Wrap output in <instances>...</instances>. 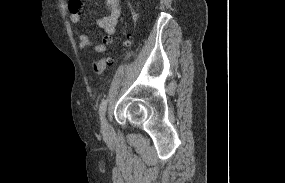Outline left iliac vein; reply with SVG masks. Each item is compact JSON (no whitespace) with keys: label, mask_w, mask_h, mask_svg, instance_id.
<instances>
[{"label":"left iliac vein","mask_w":285,"mask_h":183,"mask_svg":"<svg viewBox=\"0 0 285 183\" xmlns=\"http://www.w3.org/2000/svg\"><path fill=\"white\" fill-rule=\"evenodd\" d=\"M101 132L103 137L108 138L112 135V128L106 118L103 119L101 123Z\"/></svg>","instance_id":"left-iliac-vein-1"}]
</instances>
